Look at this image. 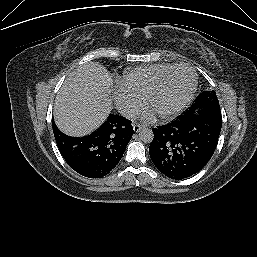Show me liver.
<instances>
[{"label":"liver","instance_id":"liver-1","mask_svg":"<svg viewBox=\"0 0 257 257\" xmlns=\"http://www.w3.org/2000/svg\"><path fill=\"white\" fill-rule=\"evenodd\" d=\"M112 78L98 62H87L65 79L54 105L58 128L70 136H84L96 130L112 110Z\"/></svg>","mask_w":257,"mask_h":257}]
</instances>
